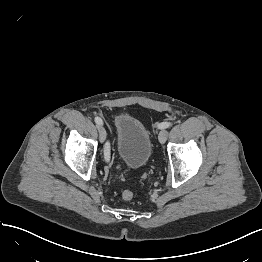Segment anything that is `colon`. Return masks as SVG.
<instances>
[{
  "instance_id": "5ec220e1",
  "label": "colon",
  "mask_w": 262,
  "mask_h": 262,
  "mask_svg": "<svg viewBox=\"0 0 262 262\" xmlns=\"http://www.w3.org/2000/svg\"><path fill=\"white\" fill-rule=\"evenodd\" d=\"M121 197L123 200L125 201H130L133 199L134 197V194L131 190H124L122 193H121Z\"/></svg>"
}]
</instances>
